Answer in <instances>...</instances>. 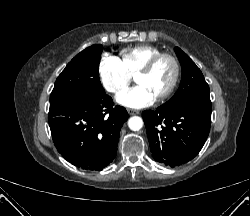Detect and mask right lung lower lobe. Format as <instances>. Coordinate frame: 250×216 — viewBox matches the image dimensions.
I'll use <instances>...</instances> for the list:
<instances>
[{
    "mask_svg": "<svg viewBox=\"0 0 250 216\" xmlns=\"http://www.w3.org/2000/svg\"><path fill=\"white\" fill-rule=\"evenodd\" d=\"M48 118L58 152L77 167L101 171L116 156L128 113L106 94H77L50 107Z\"/></svg>",
    "mask_w": 250,
    "mask_h": 216,
    "instance_id": "obj_1",
    "label": "right lung lower lobe"
}]
</instances>
